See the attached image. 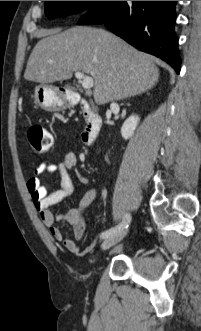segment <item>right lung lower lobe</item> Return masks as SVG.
<instances>
[{"label":"right lung lower lobe","mask_w":201,"mask_h":331,"mask_svg":"<svg viewBox=\"0 0 201 331\" xmlns=\"http://www.w3.org/2000/svg\"><path fill=\"white\" fill-rule=\"evenodd\" d=\"M176 2L99 1L78 24H104L137 49L165 60L179 74L178 39L174 31Z\"/></svg>","instance_id":"right-lung-lower-lobe-1"}]
</instances>
